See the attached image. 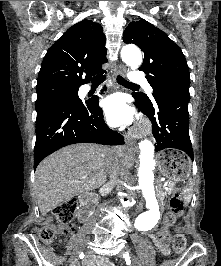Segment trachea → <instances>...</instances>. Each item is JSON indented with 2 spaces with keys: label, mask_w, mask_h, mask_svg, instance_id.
Listing matches in <instances>:
<instances>
[{
  "label": "trachea",
  "mask_w": 221,
  "mask_h": 266,
  "mask_svg": "<svg viewBox=\"0 0 221 266\" xmlns=\"http://www.w3.org/2000/svg\"><path fill=\"white\" fill-rule=\"evenodd\" d=\"M105 79H106V76H105V75H97V76H94V77L91 79V82H92V84H100V83H102ZM117 82H118L120 85H123V86H125V87L138 86L137 84H134V83H131V82L127 81L126 79H124V78L121 77L120 75L117 76Z\"/></svg>",
  "instance_id": "1"
}]
</instances>
